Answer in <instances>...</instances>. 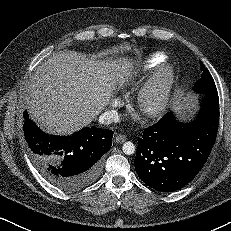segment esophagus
I'll list each match as a JSON object with an SVG mask.
<instances>
[{
    "mask_svg": "<svg viewBox=\"0 0 231 231\" xmlns=\"http://www.w3.org/2000/svg\"><path fill=\"white\" fill-rule=\"evenodd\" d=\"M126 136L125 135H123V134H119V135H117L116 137H115V142L116 143H123V142H125L126 141Z\"/></svg>",
    "mask_w": 231,
    "mask_h": 231,
    "instance_id": "esophagus-1",
    "label": "esophagus"
}]
</instances>
